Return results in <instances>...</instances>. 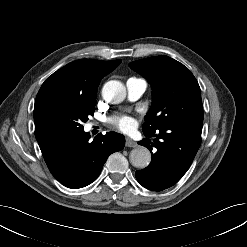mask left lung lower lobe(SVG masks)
Wrapping results in <instances>:
<instances>
[{"instance_id":"1","label":"left lung lower lobe","mask_w":247,"mask_h":247,"mask_svg":"<svg viewBox=\"0 0 247 247\" xmlns=\"http://www.w3.org/2000/svg\"><path fill=\"white\" fill-rule=\"evenodd\" d=\"M202 124L177 121L154 133L153 142L146 138L139 142L152 153L151 163L136 171L137 181L145 188L161 191L176 184L189 169L201 144Z\"/></svg>"}]
</instances>
